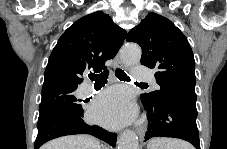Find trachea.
<instances>
[{"label":"trachea","instance_id":"trachea-1","mask_svg":"<svg viewBox=\"0 0 227 149\" xmlns=\"http://www.w3.org/2000/svg\"><path fill=\"white\" fill-rule=\"evenodd\" d=\"M108 75H109V71L104 70L103 72H101L99 74L91 73L88 75V77L91 81H94L95 84L104 85L107 83ZM115 75L119 80L130 81V78L127 76V74L120 68H117L115 70Z\"/></svg>","mask_w":227,"mask_h":149}]
</instances>
